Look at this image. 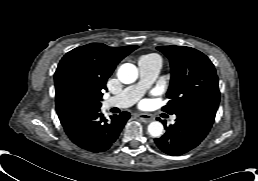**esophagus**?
<instances>
[{"label": "esophagus", "instance_id": "esophagus-1", "mask_svg": "<svg viewBox=\"0 0 258 181\" xmlns=\"http://www.w3.org/2000/svg\"><path fill=\"white\" fill-rule=\"evenodd\" d=\"M137 116L144 123H149L153 120L152 116L146 113H141V114H138Z\"/></svg>", "mask_w": 258, "mask_h": 181}]
</instances>
